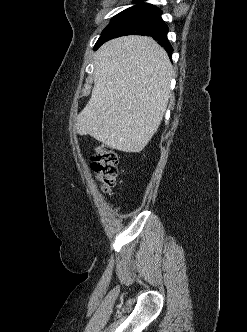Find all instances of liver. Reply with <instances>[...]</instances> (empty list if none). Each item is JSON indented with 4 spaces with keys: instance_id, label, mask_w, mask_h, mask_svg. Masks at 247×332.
<instances>
[{
    "instance_id": "6515ba94",
    "label": "liver",
    "mask_w": 247,
    "mask_h": 332,
    "mask_svg": "<svg viewBox=\"0 0 247 332\" xmlns=\"http://www.w3.org/2000/svg\"><path fill=\"white\" fill-rule=\"evenodd\" d=\"M94 64V87L76 132L118 151H142L170 97L173 71L166 51L149 37L124 36L102 45Z\"/></svg>"
}]
</instances>
